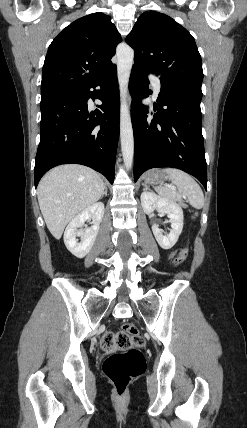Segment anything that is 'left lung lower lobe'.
<instances>
[{
  "label": "left lung lower lobe",
  "mask_w": 247,
  "mask_h": 428,
  "mask_svg": "<svg viewBox=\"0 0 247 428\" xmlns=\"http://www.w3.org/2000/svg\"><path fill=\"white\" fill-rule=\"evenodd\" d=\"M148 70L133 65L129 91L133 97L134 180L148 169L173 167L207 185V166L201 130L202 96L161 84L153 118L141 99L148 96Z\"/></svg>",
  "instance_id": "obj_1"
}]
</instances>
